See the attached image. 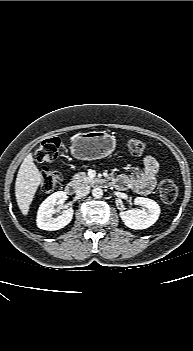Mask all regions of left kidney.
Returning <instances> with one entry per match:
<instances>
[{"label": "left kidney", "instance_id": "left-kidney-1", "mask_svg": "<svg viewBox=\"0 0 193 351\" xmlns=\"http://www.w3.org/2000/svg\"><path fill=\"white\" fill-rule=\"evenodd\" d=\"M134 203L142 206L143 208L121 211L119 215L124 224L135 230L146 229L152 226L159 217V205L154 200L144 197H136L134 199Z\"/></svg>", "mask_w": 193, "mask_h": 351}]
</instances>
